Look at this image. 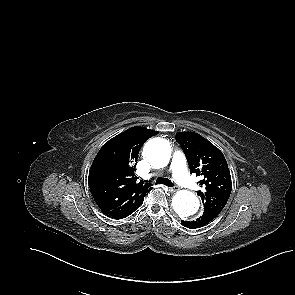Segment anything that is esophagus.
Here are the masks:
<instances>
[{
	"label": "esophagus",
	"instance_id": "obj_1",
	"mask_svg": "<svg viewBox=\"0 0 295 295\" xmlns=\"http://www.w3.org/2000/svg\"><path fill=\"white\" fill-rule=\"evenodd\" d=\"M168 191L171 193H175L176 191H178V188L177 187H169Z\"/></svg>",
	"mask_w": 295,
	"mask_h": 295
}]
</instances>
